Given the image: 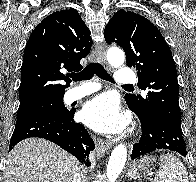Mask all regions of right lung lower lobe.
Returning a JSON list of instances; mask_svg holds the SVG:
<instances>
[{
    "label": "right lung lower lobe",
    "mask_w": 196,
    "mask_h": 182,
    "mask_svg": "<svg viewBox=\"0 0 196 182\" xmlns=\"http://www.w3.org/2000/svg\"><path fill=\"white\" fill-rule=\"evenodd\" d=\"M76 110L63 115L42 114L17 121L10 140L9 151L21 140L30 137L48 139L90 166V151L94 149L93 140L85 127L74 122Z\"/></svg>",
    "instance_id": "obj_1"
}]
</instances>
